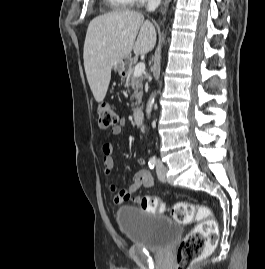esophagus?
<instances>
[{"label": "esophagus", "mask_w": 265, "mask_h": 269, "mask_svg": "<svg viewBox=\"0 0 265 269\" xmlns=\"http://www.w3.org/2000/svg\"><path fill=\"white\" fill-rule=\"evenodd\" d=\"M171 0H165L164 4H163V7L161 9V13L164 14L170 4Z\"/></svg>", "instance_id": "esophagus-1"}]
</instances>
